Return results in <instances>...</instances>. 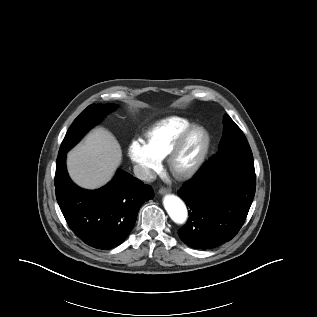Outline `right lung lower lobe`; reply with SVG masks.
<instances>
[{
	"instance_id": "1",
	"label": "right lung lower lobe",
	"mask_w": 317,
	"mask_h": 317,
	"mask_svg": "<svg viewBox=\"0 0 317 317\" xmlns=\"http://www.w3.org/2000/svg\"><path fill=\"white\" fill-rule=\"evenodd\" d=\"M65 158L66 152L58 154L55 192L70 229L93 248L118 246L131 232L141 205L153 198V189L121 170L100 189H81L69 178Z\"/></svg>"
}]
</instances>
